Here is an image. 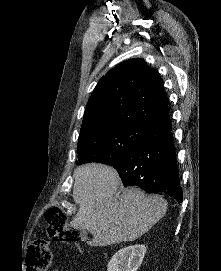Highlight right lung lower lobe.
Returning a JSON list of instances; mask_svg holds the SVG:
<instances>
[{
	"mask_svg": "<svg viewBox=\"0 0 221 271\" xmlns=\"http://www.w3.org/2000/svg\"><path fill=\"white\" fill-rule=\"evenodd\" d=\"M169 117L150 125L139 143L110 165L124 186H139L148 193L163 192L178 202L183 194Z\"/></svg>",
	"mask_w": 221,
	"mask_h": 271,
	"instance_id": "obj_1",
	"label": "right lung lower lobe"
}]
</instances>
